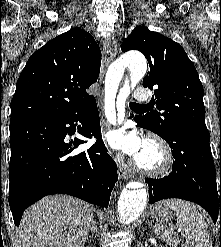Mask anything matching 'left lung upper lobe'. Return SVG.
Here are the masks:
<instances>
[{
  "label": "left lung upper lobe",
  "mask_w": 221,
  "mask_h": 247,
  "mask_svg": "<svg viewBox=\"0 0 221 247\" xmlns=\"http://www.w3.org/2000/svg\"><path fill=\"white\" fill-rule=\"evenodd\" d=\"M121 50H139L150 71L142 85L154 90L156 110L139 116L150 131L174 143L176 130L185 134L206 132L203 86L192 61L175 41L137 26L123 41Z\"/></svg>",
  "instance_id": "5c2ea615"
}]
</instances>
